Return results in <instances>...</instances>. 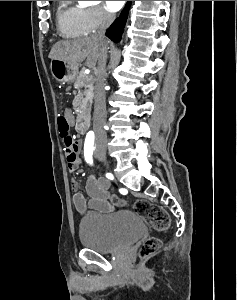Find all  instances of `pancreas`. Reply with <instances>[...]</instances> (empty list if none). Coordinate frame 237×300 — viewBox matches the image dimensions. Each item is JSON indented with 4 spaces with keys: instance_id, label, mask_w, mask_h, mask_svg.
<instances>
[{
    "instance_id": "pancreas-1",
    "label": "pancreas",
    "mask_w": 237,
    "mask_h": 300,
    "mask_svg": "<svg viewBox=\"0 0 237 300\" xmlns=\"http://www.w3.org/2000/svg\"><path fill=\"white\" fill-rule=\"evenodd\" d=\"M85 69H81L80 73H78L74 87L75 89H85L83 93H79L76 95L73 101V107L76 115L78 117H82V119H86L90 113L89 103H91L90 95H92V87L94 85L95 79H93V75H86L84 73Z\"/></svg>"
}]
</instances>
